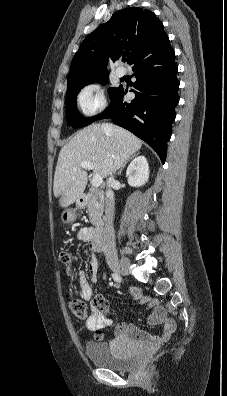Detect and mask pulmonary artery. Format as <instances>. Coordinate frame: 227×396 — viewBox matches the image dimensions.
<instances>
[{
    "label": "pulmonary artery",
    "instance_id": "pulmonary-artery-1",
    "mask_svg": "<svg viewBox=\"0 0 227 396\" xmlns=\"http://www.w3.org/2000/svg\"><path fill=\"white\" fill-rule=\"evenodd\" d=\"M125 74H126V70L123 67L120 66L116 69L117 77H123L125 76Z\"/></svg>",
    "mask_w": 227,
    "mask_h": 396
}]
</instances>
